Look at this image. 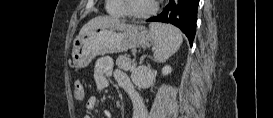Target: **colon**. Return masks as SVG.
I'll list each match as a JSON object with an SVG mask.
<instances>
[{
	"instance_id": "1",
	"label": "colon",
	"mask_w": 273,
	"mask_h": 118,
	"mask_svg": "<svg viewBox=\"0 0 273 118\" xmlns=\"http://www.w3.org/2000/svg\"><path fill=\"white\" fill-rule=\"evenodd\" d=\"M74 96L77 100L84 98V86L81 80H76L73 85Z\"/></svg>"
}]
</instances>
